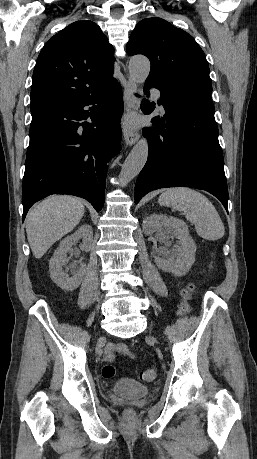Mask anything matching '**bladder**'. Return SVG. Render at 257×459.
<instances>
[{
  "label": "bladder",
  "mask_w": 257,
  "mask_h": 459,
  "mask_svg": "<svg viewBox=\"0 0 257 459\" xmlns=\"http://www.w3.org/2000/svg\"><path fill=\"white\" fill-rule=\"evenodd\" d=\"M113 393L134 399L147 396L150 393V389L133 380H121L114 386Z\"/></svg>",
  "instance_id": "obj_1"
}]
</instances>
